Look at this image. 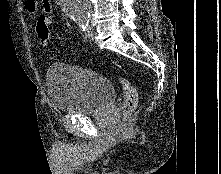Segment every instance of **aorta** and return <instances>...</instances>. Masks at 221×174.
I'll return each instance as SVG.
<instances>
[{"label": "aorta", "mask_w": 221, "mask_h": 174, "mask_svg": "<svg viewBox=\"0 0 221 174\" xmlns=\"http://www.w3.org/2000/svg\"><path fill=\"white\" fill-rule=\"evenodd\" d=\"M62 10L73 20L86 21L89 18L90 0H59Z\"/></svg>", "instance_id": "1"}]
</instances>
